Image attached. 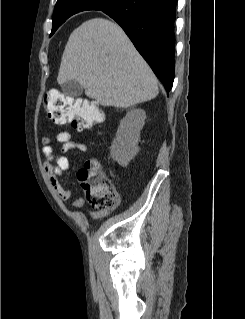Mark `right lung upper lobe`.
Segmentation results:
<instances>
[{
  "label": "right lung upper lobe",
  "mask_w": 245,
  "mask_h": 319,
  "mask_svg": "<svg viewBox=\"0 0 245 319\" xmlns=\"http://www.w3.org/2000/svg\"><path fill=\"white\" fill-rule=\"evenodd\" d=\"M60 1V0H58ZM66 1H70L72 2L71 3V6H70V13H69V17L75 13H78V12H81L83 11L82 10V7H80V3L83 1V0H66ZM106 9V8H105ZM104 10V9H102Z\"/></svg>",
  "instance_id": "1"
}]
</instances>
